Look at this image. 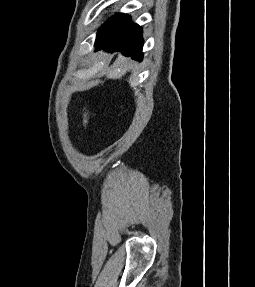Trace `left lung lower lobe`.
I'll list each match as a JSON object with an SVG mask.
<instances>
[{"label":"left lung lower lobe","instance_id":"obj_1","mask_svg":"<svg viewBox=\"0 0 255 287\" xmlns=\"http://www.w3.org/2000/svg\"><path fill=\"white\" fill-rule=\"evenodd\" d=\"M141 30L139 25L132 23L129 15L118 13L108 19L98 30L95 41L96 50L120 51L124 55L141 61L143 56Z\"/></svg>","mask_w":255,"mask_h":287}]
</instances>
